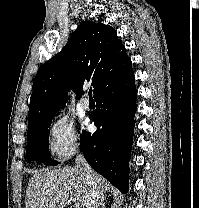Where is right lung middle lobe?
I'll return each mask as SVG.
<instances>
[{
	"label": "right lung middle lobe",
	"instance_id": "dd1d6c3e",
	"mask_svg": "<svg viewBox=\"0 0 199 208\" xmlns=\"http://www.w3.org/2000/svg\"><path fill=\"white\" fill-rule=\"evenodd\" d=\"M52 120L31 129L27 134L26 158L30 161L43 162L47 165H56L57 161L51 160L49 154V130Z\"/></svg>",
	"mask_w": 199,
	"mask_h": 208
}]
</instances>
